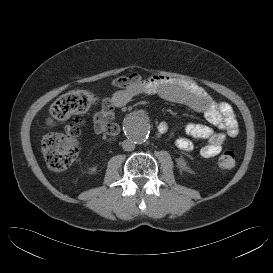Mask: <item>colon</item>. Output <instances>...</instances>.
Returning <instances> with one entry per match:
<instances>
[{
  "label": "colon",
  "mask_w": 273,
  "mask_h": 273,
  "mask_svg": "<svg viewBox=\"0 0 273 273\" xmlns=\"http://www.w3.org/2000/svg\"><path fill=\"white\" fill-rule=\"evenodd\" d=\"M98 101L97 94L91 90L76 89L69 91L53 103L47 124L55 125L72 116L84 113ZM78 152V145L71 133L47 136L42 141V153L46 164L48 168L54 171L68 168L76 160ZM217 165L221 170L233 168L235 165L234 152H223L218 158Z\"/></svg>",
  "instance_id": "1"
}]
</instances>
